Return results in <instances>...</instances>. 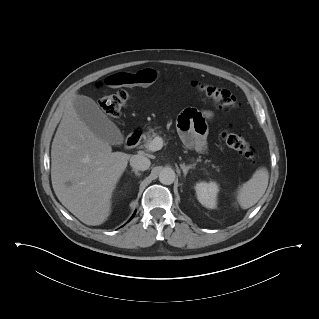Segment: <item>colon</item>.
Instances as JSON below:
<instances>
[{"mask_svg": "<svg viewBox=\"0 0 319 319\" xmlns=\"http://www.w3.org/2000/svg\"><path fill=\"white\" fill-rule=\"evenodd\" d=\"M110 79L114 80L117 85H129L131 83L130 77L123 74H116ZM196 87L220 109L231 110L237 107L236 97L227 89L202 84H196ZM128 99V92L120 89L114 94L103 96L99 101V105L104 113L116 118L122 114ZM221 137L227 146L239 152L246 159L255 160L257 155L256 148L239 134L232 130H225L222 132Z\"/></svg>", "mask_w": 319, "mask_h": 319, "instance_id": "obj_1", "label": "colon"}]
</instances>
